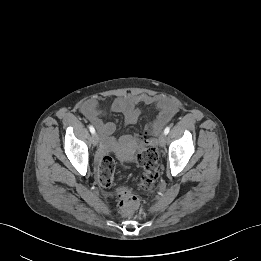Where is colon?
<instances>
[{"mask_svg": "<svg viewBox=\"0 0 261 261\" xmlns=\"http://www.w3.org/2000/svg\"><path fill=\"white\" fill-rule=\"evenodd\" d=\"M138 145L137 162L143 173L137 181V187L143 191H151L158 179V153L146 135H136ZM115 161L110 156H104L99 165V182L103 187H110L114 183ZM120 199V210L123 215H130L138 206V200L130 188L120 186L116 189Z\"/></svg>", "mask_w": 261, "mask_h": 261, "instance_id": "5ec220e1", "label": "colon"}]
</instances>
